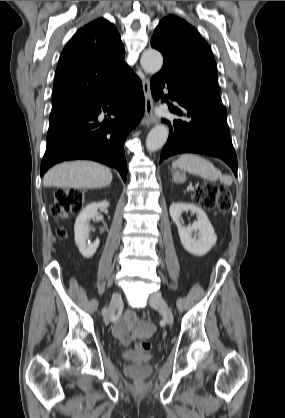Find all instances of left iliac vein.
Masks as SVG:
<instances>
[{
    "mask_svg": "<svg viewBox=\"0 0 285 418\" xmlns=\"http://www.w3.org/2000/svg\"><path fill=\"white\" fill-rule=\"evenodd\" d=\"M149 304L153 308H156L162 314L163 319L167 324L173 323L174 318L172 310L159 293H155L150 296Z\"/></svg>",
    "mask_w": 285,
    "mask_h": 418,
    "instance_id": "obj_1",
    "label": "left iliac vein"
}]
</instances>
